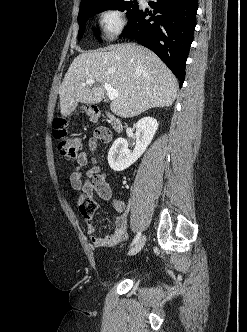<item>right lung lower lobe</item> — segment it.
<instances>
[{"label":"right lung lower lobe","instance_id":"98d812e1","mask_svg":"<svg viewBox=\"0 0 247 332\" xmlns=\"http://www.w3.org/2000/svg\"><path fill=\"white\" fill-rule=\"evenodd\" d=\"M149 5L157 16L147 18L148 10L139 9L129 18L120 37L136 39L154 51L182 86L196 26L197 0H155L149 1Z\"/></svg>","mask_w":247,"mask_h":332}]
</instances>
